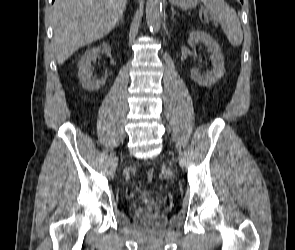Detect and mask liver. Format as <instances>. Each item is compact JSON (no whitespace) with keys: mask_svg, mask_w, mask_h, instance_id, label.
I'll list each match as a JSON object with an SVG mask.
<instances>
[{"mask_svg":"<svg viewBox=\"0 0 295 250\" xmlns=\"http://www.w3.org/2000/svg\"><path fill=\"white\" fill-rule=\"evenodd\" d=\"M127 0H56L53 34L56 60L62 65L79 48L110 33Z\"/></svg>","mask_w":295,"mask_h":250,"instance_id":"obj_1","label":"liver"}]
</instances>
